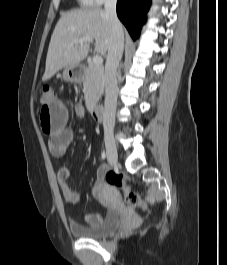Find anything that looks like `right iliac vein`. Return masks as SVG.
I'll list each match as a JSON object with an SVG mask.
<instances>
[{
    "label": "right iliac vein",
    "instance_id": "right-iliac-vein-1",
    "mask_svg": "<svg viewBox=\"0 0 227 265\" xmlns=\"http://www.w3.org/2000/svg\"><path fill=\"white\" fill-rule=\"evenodd\" d=\"M106 153L109 163L112 166L117 165V148L115 144V140L112 134L107 133L104 137Z\"/></svg>",
    "mask_w": 227,
    "mask_h": 265
}]
</instances>
